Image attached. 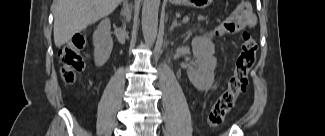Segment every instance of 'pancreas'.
<instances>
[{"label": "pancreas", "mask_w": 325, "mask_h": 136, "mask_svg": "<svg viewBox=\"0 0 325 136\" xmlns=\"http://www.w3.org/2000/svg\"><path fill=\"white\" fill-rule=\"evenodd\" d=\"M195 22L198 24H208V13L207 12H196L195 13Z\"/></svg>", "instance_id": "obj_1"}]
</instances>
